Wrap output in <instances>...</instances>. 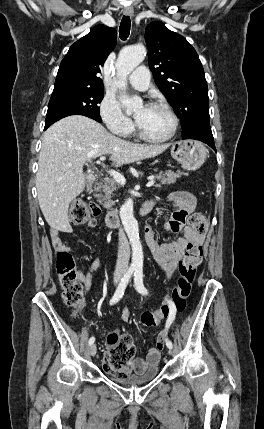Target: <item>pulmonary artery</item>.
<instances>
[{
  "label": "pulmonary artery",
  "mask_w": 264,
  "mask_h": 429,
  "mask_svg": "<svg viewBox=\"0 0 264 429\" xmlns=\"http://www.w3.org/2000/svg\"><path fill=\"white\" fill-rule=\"evenodd\" d=\"M128 82L135 89L144 91L149 88L150 85V73L147 67L139 66L134 72L128 77Z\"/></svg>",
  "instance_id": "obj_1"
}]
</instances>
